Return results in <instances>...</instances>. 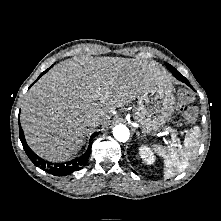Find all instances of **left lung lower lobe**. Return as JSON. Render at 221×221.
Instances as JSON below:
<instances>
[{"label":"left lung lower lobe","instance_id":"1","mask_svg":"<svg viewBox=\"0 0 221 221\" xmlns=\"http://www.w3.org/2000/svg\"><path fill=\"white\" fill-rule=\"evenodd\" d=\"M174 76H175L178 80H180V81L186 83L188 86H190V87L192 88V86L190 85L189 81H188L184 76H182L180 73L174 74Z\"/></svg>","mask_w":221,"mask_h":221}]
</instances>
